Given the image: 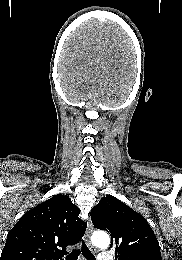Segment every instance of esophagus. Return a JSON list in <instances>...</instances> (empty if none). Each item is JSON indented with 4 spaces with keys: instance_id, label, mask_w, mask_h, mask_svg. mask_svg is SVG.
Segmentation results:
<instances>
[{
    "instance_id": "34e87169",
    "label": "esophagus",
    "mask_w": 182,
    "mask_h": 260,
    "mask_svg": "<svg viewBox=\"0 0 182 260\" xmlns=\"http://www.w3.org/2000/svg\"><path fill=\"white\" fill-rule=\"evenodd\" d=\"M92 232H93V225H92L91 220H89L88 224H87L86 232L84 235L85 241L87 242V244L89 246H91L90 237H91Z\"/></svg>"
}]
</instances>
